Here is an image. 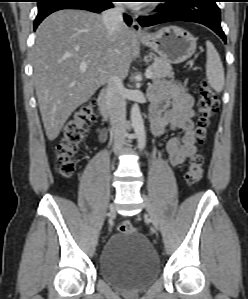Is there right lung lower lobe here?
<instances>
[{"label":"right lung lower lobe","mask_w":248,"mask_h":299,"mask_svg":"<svg viewBox=\"0 0 248 299\" xmlns=\"http://www.w3.org/2000/svg\"><path fill=\"white\" fill-rule=\"evenodd\" d=\"M113 0H38V14L34 21V30L49 14L61 9H83L95 13L113 7ZM124 20L131 25V18L124 15Z\"/></svg>","instance_id":"98d812e1"}]
</instances>
